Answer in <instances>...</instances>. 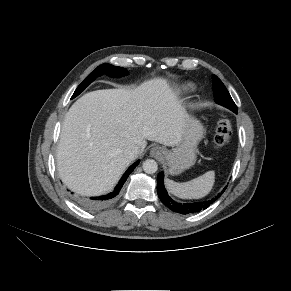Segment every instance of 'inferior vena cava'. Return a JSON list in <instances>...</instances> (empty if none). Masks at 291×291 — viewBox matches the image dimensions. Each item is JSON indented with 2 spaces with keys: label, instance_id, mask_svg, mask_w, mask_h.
Returning a JSON list of instances; mask_svg holds the SVG:
<instances>
[{
  "label": "inferior vena cava",
  "instance_id": "obj_1",
  "mask_svg": "<svg viewBox=\"0 0 291 291\" xmlns=\"http://www.w3.org/2000/svg\"><path fill=\"white\" fill-rule=\"evenodd\" d=\"M139 152L140 148L137 145L132 144L125 149L124 154L127 158L134 159L137 157Z\"/></svg>",
  "mask_w": 291,
  "mask_h": 291
}]
</instances>
